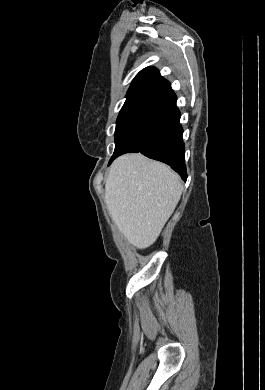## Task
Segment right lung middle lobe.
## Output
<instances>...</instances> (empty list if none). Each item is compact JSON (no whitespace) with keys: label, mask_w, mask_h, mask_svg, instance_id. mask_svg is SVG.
<instances>
[{"label":"right lung middle lobe","mask_w":265,"mask_h":390,"mask_svg":"<svg viewBox=\"0 0 265 390\" xmlns=\"http://www.w3.org/2000/svg\"><path fill=\"white\" fill-rule=\"evenodd\" d=\"M152 102L153 100L145 98H137L125 101L116 121L115 147L128 126Z\"/></svg>","instance_id":"right-lung-middle-lobe-1"}]
</instances>
